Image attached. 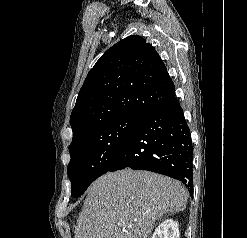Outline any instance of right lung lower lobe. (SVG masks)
I'll return each mask as SVG.
<instances>
[{
    "mask_svg": "<svg viewBox=\"0 0 247 238\" xmlns=\"http://www.w3.org/2000/svg\"><path fill=\"white\" fill-rule=\"evenodd\" d=\"M192 160L190 132L174 95L143 115L108 171L132 168L164 174L180 180L192 193Z\"/></svg>",
    "mask_w": 247,
    "mask_h": 238,
    "instance_id": "1",
    "label": "right lung lower lobe"
}]
</instances>
